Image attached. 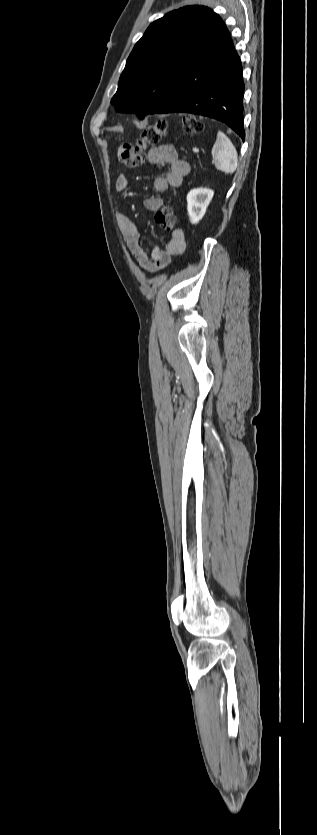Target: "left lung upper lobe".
Wrapping results in <instances>:
<instances>
[{
  "mask_svg": "<svg viewBox=\"0 0 317 835\" xmlns=\"http://www.w3.org/2000/svg\"><path fill=\"white\" fill-rule=\"evenodd\" d=\"M221 21L207 7L187 6L153 22L127 59L111 100L116 110L141 119L168 103Z\"/></svg>",
  "mask_w": 317,
  "mask_h": 835,
  "instance_id": "obj_1",
  "label": "left lung upper lobe"
}]
</instances>
